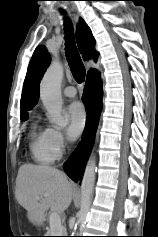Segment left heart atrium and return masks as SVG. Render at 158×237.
Here are the masks:
<instances>
[{"label": "left heart atrium", "instance_id": "1", "mask_svg": "<svg viewBox=\"0 0 158 237\" xmlns=\"http://www.w3.org/2000/svg\"><path fill=\"white\" fill-rule=\"evenodd\" d=\"M65 117L68 122L67 134L70 139H76L86 124V113L81 103H71L65 110Z\"/></svg>", "mask_w": 158, "mask_h": 237}]
</instances>
